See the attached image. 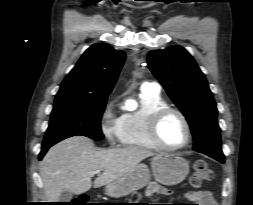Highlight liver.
I'll return each instance as SVG.
<instances>
[{"label": "liver", "mask_w": 253, "mask_h": 205, "mask_svg": "<svg viewBox=\"0 0 253 205\" xmlns=\"http://www.w3.org/2000/svg\"><path fill=\"white\" fill-rule=\"evenodd\" d=\"M154 155L139 147L96 150L85 136L67 138L49 149L40 163L46 199L58 202L61 193L88 191L92 186V172L102 170L94 181V188L108 185L129 173L142 160Z\"/></svg>", "instance_id": "liver-1"}]
</instances>
